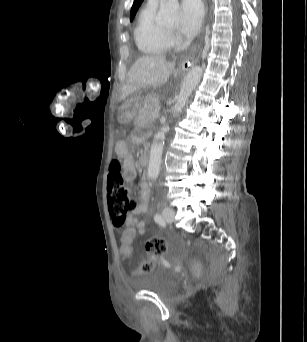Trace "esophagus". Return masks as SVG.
<instances>
[{
  "label": "esophagus",
  "instance_id": "obj_1",
  "mask_svg": "<svg viewBox=\"0 0 307 342\" xmlns=\"http://www.w3.org/2000/svg\"><path fill=\"white\" fill-rule=\"evenodd\" d=\"M201 53V45H197L192 51L191 53H189V55H187L186 57H184V61L188 62L190 64H194L196 63V61L198 60L199 56Z\"/></svg>",
  "mask_w": 307,
  "mask_h": 342
}]
</instances>
